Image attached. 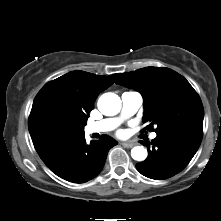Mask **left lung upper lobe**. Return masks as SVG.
<instances>
[{
    "label": "left lung upper lobe",
    "instance_id": "5c2ea615",
    "mask_svg": "<svg viewBox=\"0 0 221 221\" xmlns=\"http://www.w3.org/2000/svg\"><path fill=\"white\" fill-rule=\"evenodd\" d=\"M117 84L141 93L144 100L143 123L156 125V134L181 127H203L201 99L190 83L169 68L146 67L122 73Z\"/></svg>",
    "mask_w": 221,
    "mask_h": 221
}]
</instances>
